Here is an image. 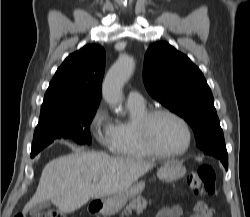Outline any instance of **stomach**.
Segmentation results:
<instances>
[{
  "label": "stomach",
  "mask_w": 250,
  "mask_h": 217,
  "mask_svg": "<svg viewBox=\"0 0 250 217\" xmlns=\"http://www.w3.org/2000/svg\"><path fill=\"white\" fill-rule=\"evenodd\" d=\"M186 168L180 162H167L157 172V177L162 181H175L183 177ZM145 187L144 182H136L131 187L100 200L99 212L103 215H112L122 209L131 199L140 194Z\"/></svg>",
  "instance_id": "obj_1"
}]
</instances>
